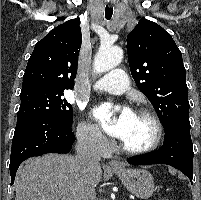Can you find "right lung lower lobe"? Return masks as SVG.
Wrapping results in <instances>:
<instances>
[{
	"mask_svg": "<svg viewBox=\"0 0 201 200\" xmlns=\"http://www.w3.org/2000/svg\"><path fill=\"white\" fill-rule=\"evenodd\" d=\"M71 127L49 116L17 120L9 165L11 185L19 165L29 157L45 153H68L75 141Z\"/></svg>",
	"mask_w": 201,
	"mask_h": 200,
	"instance_id": "98d812e1",
	"label": "right lung lower lobe"
}]
</instances>
